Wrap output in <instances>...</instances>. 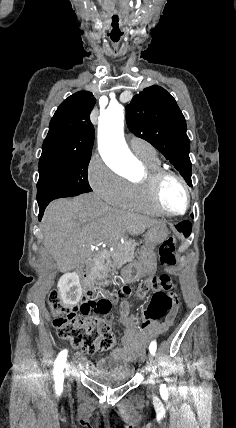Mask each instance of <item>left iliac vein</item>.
<instances>
[{"mask_svg":"<svg viewBox=\"0 0 236 428\" xmlns=\"http://www.w3.org/2000/svg\"><path fill=\"white\" fill-rule=\"evenodd\" d=\"M154 359L155 358L152 355L145 358V363H146L145 371L146 372H151L152 369H154V367H155V361H154Z\"/></svg>","mask_w":236,"mask_h":428,"instance_id":"4c4485c4","label":"left iliac vein"}]
</instances>
